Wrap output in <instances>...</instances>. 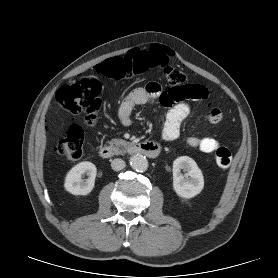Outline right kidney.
<instances>
[{
	"label": "right kidney",
	"mask_w": 278,
	"mask_h": 278,
	"mask_svg": "<svg viewBox=\"0 0 278 278\" xmlns=\"http://www.w3.org/2000/svg\"><path fill=\"white\" fill-rule=\"evenodd\" d=\"M84 174L88 176L85 180L83 179ZM96 174L97 168L93 163L80 162L68 172L64 187L73 195H87L94 188Z\"/></svg>",
	"instance_id": "ca27d5eb"
}]
</instances>
